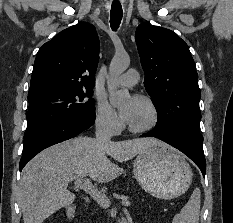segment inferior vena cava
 I'll return each instance as SVG.
<instances>
[{"label": "inferior vena cava", "mask_w": 233, "mask_h": 223, "mask_svg": "<svg viewBox=\"0 0 233 223\" xmlns=\"http://www.w3.org/2000/svg\"><path fill=\"white\" fill-rule=\"evenodd\" d=\"M96 143H110L112 137V123L107 117L97 119L96 123Z\"/></svg>", "instance_id": "602c4592"}]
</instances>
